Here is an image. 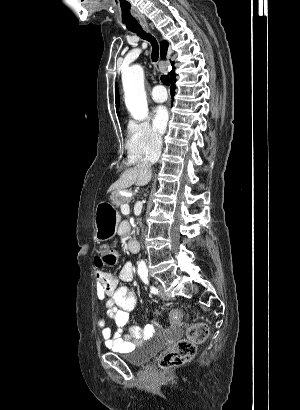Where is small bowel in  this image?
I'll list each match as a JSON object with an SVG mask.
<instances>
[{
    "label": "small bowel",
    "instance_id": "obj_1",
    "mask_svg": "<svg viewBox=\"0 0 300 410\" xmlns=\"http://www.w3.org/2000/svg\"><path fill=\"white\" fill-rule=\"evenodd\" d=\"M95 276L97 296L100 300H105L107 316L115 324V331H112L105 320L98 323L105 345L116 351H127L152 337L157 331L154 324H147L143 328L130 326L127 333H123L129 313L134 310L137 302L136 293L129 285L133 278L131 265L125 264L118 278L103 270H97Z\"/></svg>",
    "mask_w": 300,
    "mask_h": 410
}]
</instances>
